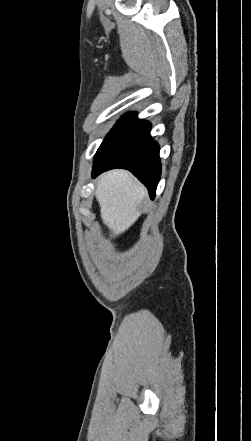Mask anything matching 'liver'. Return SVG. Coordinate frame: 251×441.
I'll return each mask as SVG.
<instances>
[{
  "mask_svg": "<svg viewBox=\"0 0 251 441\" xmlns=\"http://www.w3.org/2000/svg\"><path fill=\"white\" fill-rule=\"evenodd\" d=\"M147 195L146 188L125 170H112L97 179L95 196L103 223L112 237L125 232L141 215L139 205Z\"/></svg>",
  "mask_w": 251,
  "mask_h": 441,
  "instance_id": "liver-1",
  "label": "liver"
}]
</instances>
